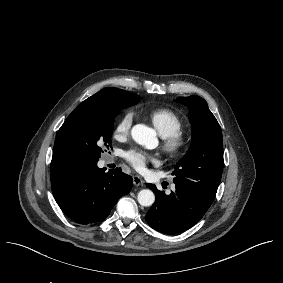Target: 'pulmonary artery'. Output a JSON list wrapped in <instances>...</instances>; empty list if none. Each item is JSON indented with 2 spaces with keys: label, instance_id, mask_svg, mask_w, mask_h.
Listing matches in <instances>:
<instances>
[{
  "label": "pulmonary artery",
  "instance_id": "pulmonary-artery-1",
  "mask_svg": "<svg viewBox=\"0 0 283 283\" xmlns=\"http://www.w3.org/2000/svg\"><path fill=\"white\" fill-rule=\"evenodd\" d=\"M171 190H173V191L175 190V186L174 185L171 186Z\"/></svg>",
  "mask_w": 283,
  "mask_h": 283
}]
</instances>
